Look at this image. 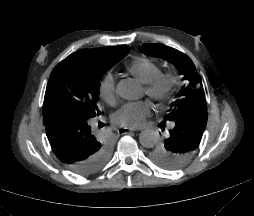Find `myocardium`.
Wrapping results in <instances>:
<instances>
[{"mask_svg": "<svg viewBox=\"0 0 254 216\" xmlns=\"http://www.w3.org/2000/svg\"><path fill=\"white\" fill-rule=\"evenodd\" d=\"M174 85V77L171 73L164 72L158 76V82L153 87L155 100L161 101L168 96Z\"/></svg>", "mask_w": 254, "mask_h": 216, "instance_id": "myocardium-1", "label": "myocardium"}]
</instances>
